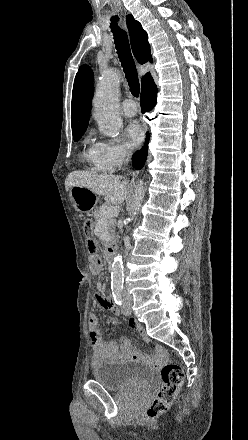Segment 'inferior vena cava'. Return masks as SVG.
I'll return each instance as SVG.
<instances>
[{
  "label": "inferior vena cava",
  "instance_id": "inferior-vena-cava-1",
  "mask_svg": "<svg viewBox=\"0 0 248 440\" xmlns=\"http://www.w3.org/2000/svg\"><path fill=\"white\" fill-rule=\"evenodd\" d=\"M124 157H127L126 158V162L128 161V153L126 152V153H124ZM129 295H127V297H128Z\"/></svg>",
  "mask_w": 248,
  "mask_h": 440
}]
</instances>
